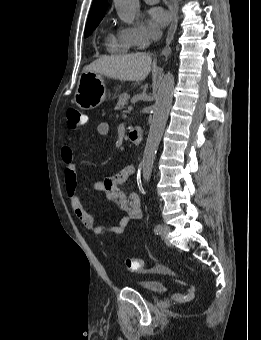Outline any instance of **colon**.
Here are the masks:
<instances>
[{
    "instance_id": "5ec220e1",
    "label": "colon",
    "mask_w": 261,
    "mask_h": 340,
    "mask_svg": "<svg viewBox=\"0 0 261 340\" xmlns=\"http://www.w3.org/2000/svg\"><path fill=\"white\" fill-rule=\"evenodd\" d=\"M67 124L71 130L79 129L84 123L85 115L76 107H70L66 112ZM126 267L131 271H137L142 268L143 262L139 258L129 257L125 259Z\"/></svg>"
}]
</instances>
